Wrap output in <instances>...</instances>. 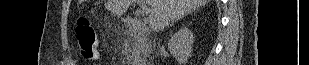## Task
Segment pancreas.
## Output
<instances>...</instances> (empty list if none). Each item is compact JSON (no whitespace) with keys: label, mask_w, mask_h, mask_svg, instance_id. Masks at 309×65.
<instances>
[{"label":"pancreas","mask_w":309,"mask_h":65,"mask_svg":"<svg viewBox=\"0 0 309 65\" xmlns=\"http://www.w3.org/2000/svg\"><path fill=\"white\" fill-rule=\"evenodd\" d=\"M149 48V43L141 36L135 37L134 42L131 45V56L130 58L134 59L140 56L145 50Z\"/></svg>","instance_id":"obj_1"}]
</instances>
